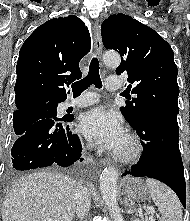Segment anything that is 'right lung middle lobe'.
<instances>
[{
    "instance_id": "dd1d6c3e",
    "label": "right lung middle lobe",
    "mask_w": 190,
    "mask_h": 221,
    "mask_svg": "<svg viewBox=\"0 0 190 221\" xmlns=\"http://www.w3.org/2000/svg\"><path fill=\"white\" fill-rule=\"evenodd\" d=\"M57 103L43 104L14 114L13 126L16 136H21L35 122L45 118H57Z\"/></svg>"
}]
</instances>
